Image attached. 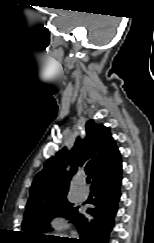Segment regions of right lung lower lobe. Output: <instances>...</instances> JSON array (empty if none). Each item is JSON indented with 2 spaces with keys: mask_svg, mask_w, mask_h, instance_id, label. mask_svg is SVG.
<instances>
[{
  "mask_svg": "<svg viewBox=\"0 0 154 243\" xmlns=\"http://www.w3.org/2000/svg\"><path fill=\"white\" fill-rule=\"evenodd\" d=\"M122 165L111 174L95 181L91 188L95 199L93 208L88 209L89 216L78 212L71 217L80 239H52V242L63 243H108L109 234L114 226V217L120 199Z\"/></svg>",
  "mask_w": 154,
  "mask_h": 243,
  "instance_id": "1",
  "label": "right lung lower lobe"
}]
</instances>
